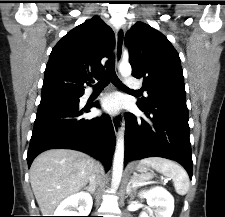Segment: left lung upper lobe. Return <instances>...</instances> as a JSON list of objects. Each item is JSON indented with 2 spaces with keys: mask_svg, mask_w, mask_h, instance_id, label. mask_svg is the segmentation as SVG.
<instances>
[{
  "mask_svg": "<svg viewBox=\"0 0 225 217\" xmlns=\"http://www.w3.org/2000/svg\"><path fill=\"white\" fill-rule=\"evenodd\" d=\"M132 76L143 78L142 90L148 97L137 104L186 102L183 71L179 55L170 41L151 26L137 22L126 35Z\"/></svg>",
  "mask_w": 225,
  "mask_h": 217,
  "instance_id": "5c2ea615",
  "label": "left lung upper lobe"
}]
</instances>
